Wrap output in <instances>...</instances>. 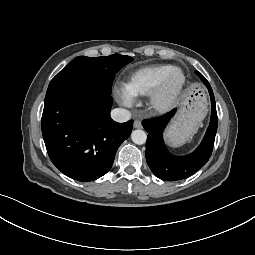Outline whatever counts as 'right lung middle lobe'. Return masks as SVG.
<instances>
[{
  "label": "right lung middle lobe",
  "mask_w": 255,
  "mask_h": 255,
  "mask_svg": "<svg viewBox=\"0 0 255 255\" xmlns=\"http://www.w3.org/2000/svg\"><path fill=\"white\" fill-rule=\"evenodd\" d=\"M133 61L130 56L114 54L106 57L79 56L64 67L50 82L56 84L83 82L97 85L111 92L115 74Z\"/></svg>",
  "instance_id": "1"
}]
</instances>
